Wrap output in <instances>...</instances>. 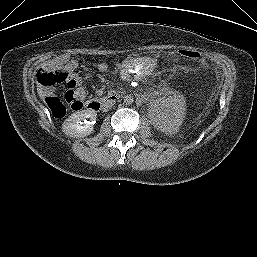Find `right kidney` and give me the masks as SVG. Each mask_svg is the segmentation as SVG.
I'll list each match as a JSON object with an SVG mask.
<instances>
[{
	"instance_id": "right-kidney-1",
	"label": "right kidney",
	"mask_w": 257,
	"mask_h": 257,
	"mask_svg": "<svg viewBox=\"0 0 257 257\" xmlns=\"http://www.w3.org/2000/svg\"><path fill=\"white\" fill-rule=\"evenodd\" d=\"M96 116V112L89 109L73 113L63 122L62 130L66 135L74 138H83L88 136L94 130L92 124L96 119ZM87 119L89 121H87ZM83 121L85 124H83Z\"/></svg>"
}]
</instances>
